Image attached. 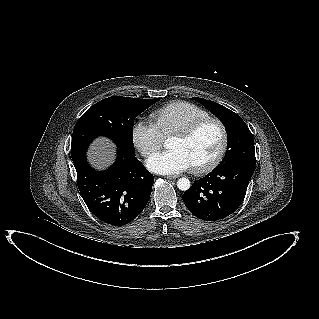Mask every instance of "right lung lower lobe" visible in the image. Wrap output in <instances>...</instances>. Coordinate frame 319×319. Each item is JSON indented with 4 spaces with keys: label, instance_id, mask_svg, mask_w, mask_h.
<instances>
[{
    "label": "right lung lower lobe",
    "instance_id": "98d812e1",
    "mask_svg": "<svg viewBox=\"0 0 319 319\" xmlns=\"http://www.w3.org/2000/svg\"><path fill=\"white\" fill-rule=\"evenodd\" d=\"M87 148L71 153L77 184L84 202L102 222L122 226L145 208L154 177L136 159L118 149L116 162L106 171H95L86 160Z\"/></svg>",
    "mask_w": 319,
    "mask_h": 319
}]
</instances>
